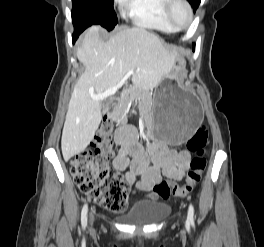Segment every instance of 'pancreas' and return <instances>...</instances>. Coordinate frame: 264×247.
I'll use <instances>...</instances> for the list:
<instances>
[{
    "label": "pancreas",
    "mask_w": 264,
    "mask_h": 247,
    "mask_svg": "<svg viewBox=\"0 0 264 247\" xmlns=\"http://www.w3.org/2000/svg\"><path fill=\"white\" fill-rule=\"evenodd\" d=\"M142 96V91L138 86H134L128 90H126L117 105L116 109L111 115V118L114 121H117L119 123H123L126 120L127 117V110L128 105L131 100H137L139 97Z\"/></svg>",
    "instance_id": "cf45deb5"
}]
</instances>
